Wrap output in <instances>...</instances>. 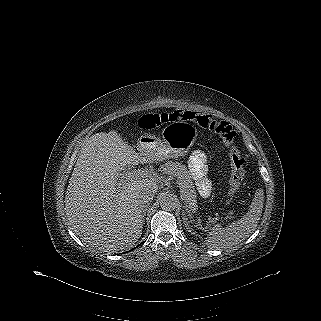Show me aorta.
Listing matches in <instances>:
<instances>
[{
  "instance_id": "obj_1",
  "label": "aorta",
  "mask_w": 321,
  "mask_h": 321,
  "mask_svg": "<svg viewBox=\"0 0 321 321\" xmlns=\"http://www.w3.org/2000/svg\"><path fill=\"white\" fill-rule=\"evenodd\" d=\"M159 202L161 208L166 211L174 210L179 203L177 196L173 194L162 195Z\"/></svg>"
}]
</instances>
